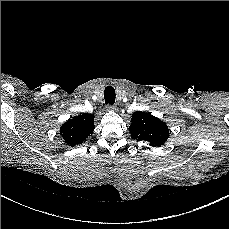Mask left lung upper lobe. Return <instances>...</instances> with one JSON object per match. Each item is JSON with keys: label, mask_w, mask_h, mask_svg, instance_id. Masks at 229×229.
Masks as SVG:
<instances>
[{"label": "left lung upper lobe", "mask_w": 229, "mask_h": 229, "mask_svg": "<svg viewBox=\"0 0 229 229\" xmlns=\"http://www.w3.org/2000/svg\"><path fill=\"white\" fill-rule=\"evenodd\" d=\"M129 131L132 139L155 147L163 145L169 137V129L165 122L151 113L141 111L132 114Z\"/></svg>", "instance_id": "1"}]
</instances>
